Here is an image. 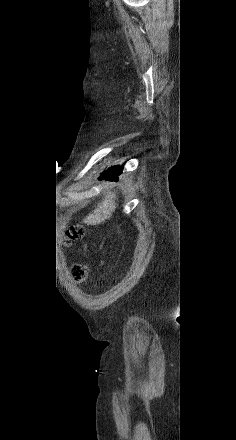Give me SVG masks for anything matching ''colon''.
I'll return each mask as SVG.
<instances>
[{"mask_svg":"<svg viewBox=\"0 0 236 440\" xmlns=\"http://www.w3.org/2000/svg\"><path fill=\"white\" fill-rule=\"evenodd\" d=\"M85 233V229L80 225H74L69 229L67 243L72 240H76L81 238ZM72 276L73 278L79 282L83 283L87 280L88 277V269L85 265L75 264L72 267Z\"/></svg>","mask_w":236,"mask_h":440,"instance_id":"5ec220e1","label":"colon"}]
</instances>
